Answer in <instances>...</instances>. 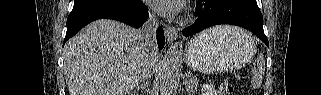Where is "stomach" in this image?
I'll use <instances>...</instances> for the list:
<instances>
[{
	"label": "stomach",
	"instance_id": "stomach-1",
	"mask_svg": "<svg viewBox=\"0 0 321 95\" xmlns=\"http://www.w3.org/2000/svg\"><path fill=\"white\" fill-rule=\"evenodd\" d=\"M226 33L205 31L184 50L187 64L205 73H222L244 66L256 53V43L246 32L233 28Z\"/></svg>",
	"mask_w": 321,
	"mask_h": 95
}]
</instances>
